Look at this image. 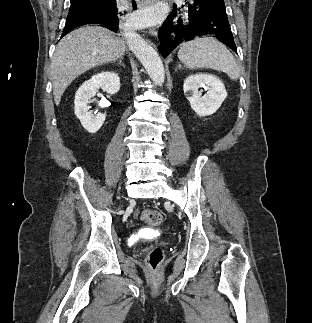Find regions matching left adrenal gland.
Listing matches in <instances>:
<instances>
[{"mask_svg":"<svg viewBox=\"0 0 312 323\" xmlns=\"http://www.w3.org/2000/svg\"><path fill=\"white\" fill-rule=\"evenodd\" d=\"M182 66L181 64H178V70H181Z\"/></svg>","mask_w":312,"mask_h":323,"instance_id":"a2214340","label":"left adrenal gland"}]
</instances>
